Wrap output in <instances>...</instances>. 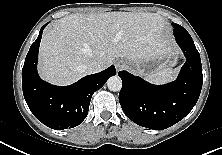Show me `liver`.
<instances>
[{
  "label": "liver",
  "mask_w": 222,
  "mask_h": 155,
  "mask_svg": "<svg viewBox=\"0 0 222 155\" xmlns=\"http://www.w3.org/2000/svg\"><path fill=\"white\" fill-rule=\"evenodd\" d=\"M164 25L154 13L71 14L57 20L42 37L40 76L57 85L87 74L92 61L106 69L117 57L130 63L146 59L160 42Z\"/></svg>",
  "instance_id": "liver-1"
}]
</instances>
